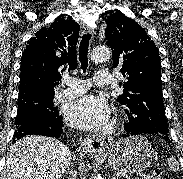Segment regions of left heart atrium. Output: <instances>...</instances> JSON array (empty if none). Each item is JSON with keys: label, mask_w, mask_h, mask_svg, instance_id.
<instances>
[{"label": "left heart atrium", "mask_w": 183, "mask_h": 179, "mask_svg": "<svg viewBox=\"0 0 183 179\" xmlns=\"http://www.w3.org/2000/svg\"><path fill=\"white\" fill-rule=\"evenodd\" d=\"M66 119L74 127L96 131L108 124L110 109L104 99L87 95L69 105Z\"/></svg>", "instance_id": "left-heart-atrium-1"}]
</instances>
